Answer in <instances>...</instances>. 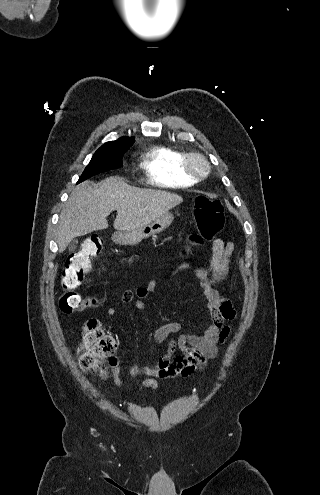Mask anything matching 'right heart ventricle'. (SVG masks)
<instances>
[{"label":"right heart ventricle","instance_id":"obj_1","mask_svg":"<svg viewBox=\"0 0 320 495\" xmlns=\"http://www.w3.org/2000/svg\"><path fill=\"white\" fill-rule=\"evenodd\" d=\"M183 156L182 151L173 147L154 146L143 155L141 167L148 180L157 186L170 188L192 186L196 180L183 171Z\"/></svg>","mask_w":320,"mask_h":495}]
</instances>
